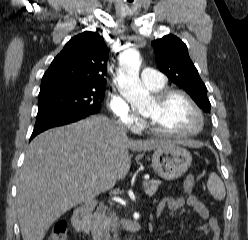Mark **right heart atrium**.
Masks as SVG:
<instances>
[{
	"label": "right heart atrium",
	"instance_id": "d8ad5b80",
	"mask_svg": "<svg viewBox=\"0 0 248 240\" xmlns=\"http://www.w3.org/2000/svg\"><path fill=\"white\" fill-rule=\"evenodd\" d=\"M109 110L113 117L123 126L130 130H138L142 121L131 109L126 100L120 95H113L108 103Z\"/></svg>",
	"mask_w": 248,
	"mask_h": 240
}]
</instances>
